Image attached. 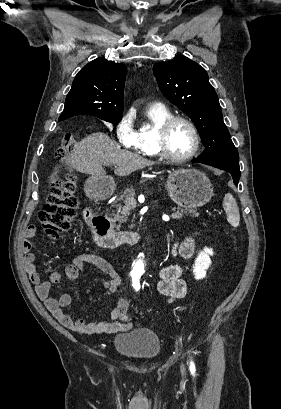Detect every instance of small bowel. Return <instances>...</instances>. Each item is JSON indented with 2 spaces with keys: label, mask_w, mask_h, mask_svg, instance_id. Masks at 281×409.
I'll return each instance as SVG.
<instances>
[{
  "label": "small bowel",
  "mask_w": 281,
  "mask_h": 409,
  "mask_svg": "<svg viewBox=\"0 0 281 409\" xmlns=\"http://www.w3.org/2000/svg\"><path fill=\"white\" fill-rule=\"evenodd\" d=\"M37 234L36 227L30 225L26 230V239L23 242L24 264L26 272L34 285L38 298L45 304L53 316L65 327L80 334H116L125 333L132 329L133 323L127 319L126 313L129 301L125 297L117 300L110 313V321L87 322L83 319H74L65 308L71 303L68 294H61L58 298L49 296L51 284L60 283L63 278L76 280L83 273L85 265L91 264L105 273L109 278L104 281L103 288L106 297L119 292L121 277L115 268L106 259L96 254H82L77 256L73 263L67 265L63 273L54 272L49 281L43 280L38 274L35 265V255L31 252L30 239ZM194 240L191 237L178 238L171 248L172 257L190 259L194 254ZM185 269L179 264H171L160 268L157 272V291L164 296L168 303L183 299L191 291V285L184 278Z\"/></svg>",
  "instance_id": "c3829d8e"
}]
</instances>
